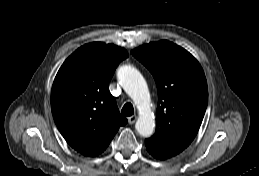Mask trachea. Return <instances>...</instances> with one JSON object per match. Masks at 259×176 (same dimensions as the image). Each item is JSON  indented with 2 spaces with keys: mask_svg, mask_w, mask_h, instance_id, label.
<instances>
[{
  "mask_svg": "<svg viewBox=\"0 0 259 176\" xmlns=\"http://www.w3.org/2000/svg\"><path fill=\"white\" fill-rule=\"evenodd\" d=\"M122 114L125 116H131L134 114V108L133 105L131 103H126L124 104L122 110H121Z\"/></svg>",
  "mask_w": 259,
  "mask_h": 176,
  "instance_id": "1",
  "label": "trachea"
}]
</instances>
